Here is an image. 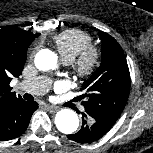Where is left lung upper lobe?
Listing matches in <instances>:
<instances>
[{
	"mask_svg": "<svg viewBox=\"0 0 153 153\" xmlns=\"http://www.w3.org/2000/svg\"><path fill=\"white\" fill-rule=\"evenodd\" d=\"M102 39V63L82 84L86 115L110 130L125 108L130 91V73L124 52L109 34Z\"/></svg>",
	"mask_w": 153,
	"mask_h": 153,
	"instance_id": "1",
	"label": "left lung upper lobe"
}]
</instances>
